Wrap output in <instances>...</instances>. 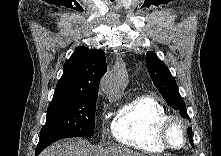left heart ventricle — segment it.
<instances>
[{
	"label": "left heart ventricle",
	"mask_w": 221,
	"mask_h": 156,
	"mask_svg": "<svg viewBox=\"0 0 221 156\" xmlns=\"http://www.w3.org/2000/svg\"><path fill=\"white\" fill-rule=\"evenodd\" d=\"M184 139V132L182 126L175 122L169 129V140L173 146H180Z\"/></svg>",
	"instance_id": "left-heart-ventricle-1"
}]
</instances>
